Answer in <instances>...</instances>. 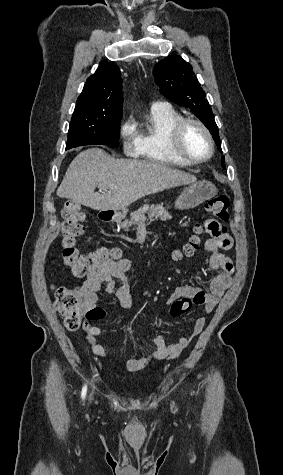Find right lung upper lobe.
Returning a JSON list of instances; mask_svg holds the SVG:
<instances>
[{"mask_svg": "<svg viewBox=\"0 0 283 475\" xmlns=\"http://www.w3.org/2000/svg\"><path fill=\"white\" fill-rule=\"evenodd\" d=\"M120 70L114 62L101 61L96 72L87 79L77 103L122 105Z\"/></svg>", "mask_w": 283, "mask_h": 475, "instance_id": "right-lung-upper-lobe-1", "label": "right lung upper lobe"}]
</instances>
